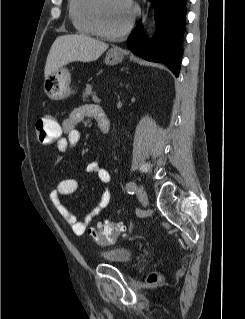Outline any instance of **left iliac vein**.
<instances>
[{"label":"left iliac vein","mask_w":245,"mask_h":319,"mask_svg":"<svg viewBox=\"0 0 245 319\" xmlns=\"http://www.w3.org/2000/svg\"><path fill=\"white\" fill-rule=\"evenodd\" d=\"M137 197L139 201L146 206L148 204V198L145 189L143 186H139L136 190Z\"/></svg>","instance_id":"1"}]
</instances>
